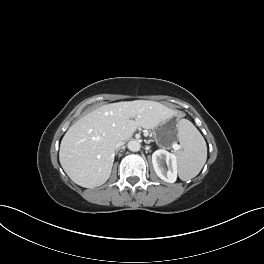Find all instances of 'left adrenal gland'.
Instances as JSON below:
<instances>
[{"label":"left adrenal gland","mask_w":264,"mask_h":264,"mask_svg":"<svg viewBox=\"0 0 264 264\" xmlns=\"http://www.w3.org/2000/svg\"><path fill=\"white\" fill-rule=\"evenodd\" d=\"M152 140L147 141L146 143L149 144Z\"/></svg>","instance_id":"a2214340"}]
</instances>
